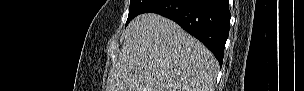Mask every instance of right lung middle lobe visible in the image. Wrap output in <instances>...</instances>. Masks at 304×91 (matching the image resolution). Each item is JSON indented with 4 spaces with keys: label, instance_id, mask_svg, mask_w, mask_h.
<instances>
[{
    "label": "right lung middle lobe",
    "instance_id": "right-lung-middle-lobe-1",
    "mask_svg": "<svg viewBox=\"0 0 304 91\" xmlns=\"http://www.w3.org/2000/svg\"><path fill=\"white\" fill-rule=\"evenodd\" d=\"M148 2H150V0H130L129 15L126 26L135 16L140 14L141 10Z\"/></svg>",
    "mask_w": 304,
    "mask_h": 91
}]
</instances>
